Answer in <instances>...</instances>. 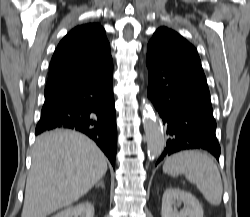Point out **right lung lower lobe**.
I'll return each mask as SVG.
<instances>
[{
	"label": "right lung lower lobe",
	"instance_id": "1",
	"mask_svg": "<svg viewBox=\"0 0 250 217\" xmlns=\"http://www.w3.org/2000/svg\"><path fill=\"white\" fill-rule=\"evenodd\" d=\"M59 128L88 135L115 168L117 128L113 63L87 80L45 94L35 134Z\"/></svg>",
	"mask_w": 250,
	"mask_h": 217
}]
</instances>
